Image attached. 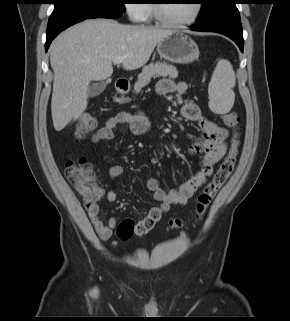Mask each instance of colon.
<instances>
[{"label": "colon", "instance_id": "colon-1", "mask_svg": "<svg viewBox=\"0 0 290 321\" xmlns=\"http://www.w3.org/2000/svg\"><path fill=\"white\" fill-rule=\"evenodd\" d=\"M223 120L228 126L235 130L233 140L231 147L218 170L197 197V221H200L203 218L208 207L219 190L226 183L235 167L239 147L240 118L235 112H229L223 115ZM95 127L96 121L93 116L90 114L82 115L76 125V138L81 139L85 137L90 134ZM64 173L68 182L82 199L85 207L95 205L101 197V188L97 184L92 165L83 157L72 158L66 162ZM182 226L183 222L180 219H172L170 221L171 228L178 229ZM117 234L122 240L131 238L136 234L135 223L131 220L123 221L118 227Z\"/></svg>", "mask_w": 290, "mask_h": 321}]
</instances>
